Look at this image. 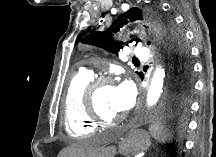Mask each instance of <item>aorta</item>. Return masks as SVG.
<instances>
[{
	"label": "aorta",
	"mask_w": 216,
	"mask_h": 157,
	"mask_svg": "<svg viewBox=\"0 0 216 157\" xmlns=\"http://www.w3.org/2000/svg\"><path fill=\"white\" fill-rule=\"evenodd\" d=\"M165 76H166L165 70L161 66H158L154 71V74H153V77H152V80H151V83H150V86L147 92L146 101H147L148 107H152L159 101L163 93ZM123 152L126 153L125 151Z\"/></svg>",
	"instance_id": "obj_1"
}]
</instances>
